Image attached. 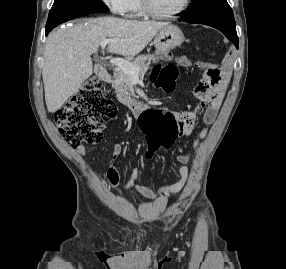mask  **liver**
I'll return each instance as SVG.
<instances>
[{"mask_svg":"<svg viewBox=\"0 0 286 269\" xmlns=\"http://www.w3.org/2000/svg\"><path fill=\"white\" fill-rule=\"evenodd\" d=\"M168 22L100 17L60 27L46 41L42 70L49 112L59 110L93 71L91 55L103 39L112 40L107 51L131 60Z\"/></svg>","mask_w":286,"mask_h":269,"instance_id":"obj_1","label":"liver"}]
</instances>
